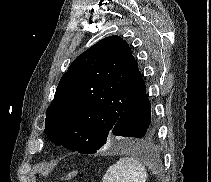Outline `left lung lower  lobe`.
I'll list each match as a JSON object with an SVG mask.
<instances>
[{"instance_id": "0a47b994", "label": "left lung lower lobe", "mask_w": 211, "mask_h": 182, "mask_svg": "<svg viewBox=\"0 0 211 182\" xmlns=\"http://www.w3.org/2000/svg\"><path fill=\"white\" fill-rule=\"evenodd\" d=\"M156 122L151 113V104L146 93V85L137 97L125 108L114 125L111 136H121L117 141L132 143L136 139L147 140L156 132Z\"/></svg>"}]
</instances>
